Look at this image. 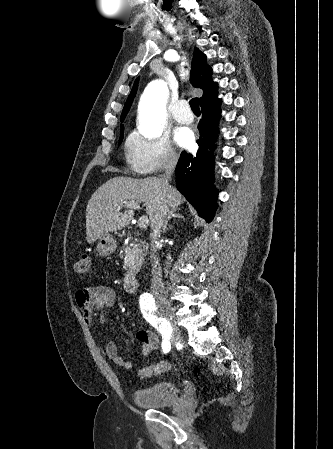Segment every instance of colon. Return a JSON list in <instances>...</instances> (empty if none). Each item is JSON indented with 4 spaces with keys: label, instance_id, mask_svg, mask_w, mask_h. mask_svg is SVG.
<instances>
[{
    "label": "colon",
    "instance_id": "obj_1",
    "mask_svg": "<svg viewBox=\"0 0 333 449\" xmlns=\"http://www.w3.org/2000/svg\"><path fill=\"white\" fill-rule=\"evenodd\" d=\"M90 270V258L87 255L81 256L74 263V271L78 274H87ZM171 364L166 361L157 362L145 366L139 370V375L142 378L150 377L152 375H159L171 370Z\"/></svg>",
    "mask_w": 333,
    "mask_h": 449
}]
</instances>
